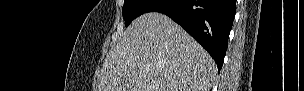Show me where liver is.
Masks as SVG:
<instances>
[{
  "mask_svg": "<svg viewBox=\"0 0 304 91\" xmlns=\"http://www.w3.org/2000/svg\"><path fill=\"white\" fill-rule=\"evenodd\" d=\"M217 67L206 50L164 14L135 19L111 50L99 91H209Z\"/></svg>",
  "mask_w": 304,
  "mask_h": 91,
  "instance_id": "1",
  "label": "liver"
}]
</instances>
